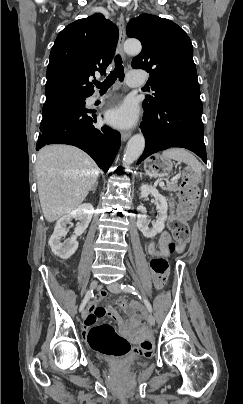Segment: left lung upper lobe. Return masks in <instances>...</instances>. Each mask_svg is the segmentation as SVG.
<instances>
[{
    "label": "left lung upper lobe",
    "instance_id": "left-lung-upper-lobe-1",
    "mask_svg": "<svg viewBox=\"0 0 243 404\" xmlns=\"http://www.w3.org/2000/svg\"><path fill=\"white\" fill-rule=\"evenodd\" d=\"M127 36L142 43L141 53L133 58L132 67L150 72L154 97L143 102L144 115L172 99L200 100V88L193 46L188 35L174 22L155 15L141 14L127 24Z\"/></svg>",
    "mask_w": 243,
    "mask_h": 404
}]
</instances>
